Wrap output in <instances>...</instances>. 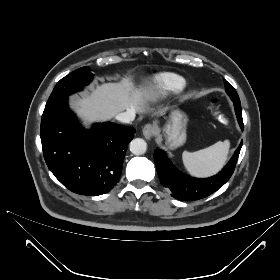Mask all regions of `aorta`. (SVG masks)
I'll use <instances>...</instances> for the list:
<instances>
[{
  "mask_svg": "<svg viewBox=\"0 0 280 280\" xmlns=\"http://www.w3.org/2000/svg\"><path fill=\"white\" fill-rule=\"evenodd\" d=\"M147 150V143L141 138L133 139L130 142V151L134 155H142Z\"/></svg>",
  "mask_w": 280,
  "mask_h": 280,
  "instance_id": "762f6f07",
  "label": "aorta"
}]
</instances>
